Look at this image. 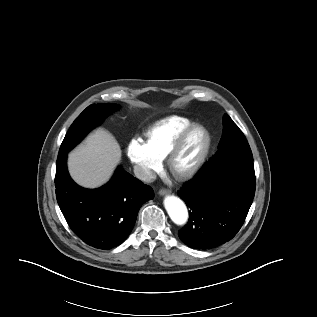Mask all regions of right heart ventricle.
Listing matches in <instances>:
<instances>
[{"label": "right heart ventricle", "mask_w": 317, "mask_h": 317, "mask_svg": "<svg viewBox=\"0 0 317 317\" xmlns=\"http://www.w3.org/2000/svg\"><path fill=\"white\" fill-rule=\"evenodd\" d=\"M192 124L191 120L180 116L162 119L145 131V143L162 160L177 137Z\"/></svg>", "instance_id": "1"}]
</instances>
